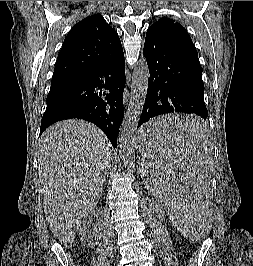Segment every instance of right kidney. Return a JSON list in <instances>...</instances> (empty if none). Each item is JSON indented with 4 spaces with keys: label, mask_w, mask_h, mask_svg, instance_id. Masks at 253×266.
Wrapping results in <instances>:
<instances>
[{
    "label": "right kidney",
    "mask_w": 253,
    "mask_h": 266,
    "mask_svg": "<svg viewBox=\"0 0 253 266\" xmlns=\"http://www.w3.org/2000/svg\"><path fill=\"white\" fill-rule=\"evenodd\" d=\"M95 217V214H93ZM93 216L89 217L86 221H84L79 227V236L82 244L92 247L101 238L100 229L97 228V225L93 224Z\"/></svg>",
    "instance_id": "right-kidney-1"
}]
</instances>
